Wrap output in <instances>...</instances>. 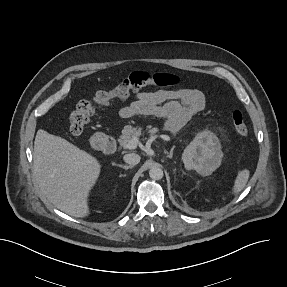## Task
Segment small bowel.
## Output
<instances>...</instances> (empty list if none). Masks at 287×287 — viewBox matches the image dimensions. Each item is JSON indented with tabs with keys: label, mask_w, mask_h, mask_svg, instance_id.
<instances>
[{
	"label": "small bowel",
	"mask_w": 287,
	"mask_h": 287,
	"mask_svg": "<svg viewBox=\"0 0 287 287\" xmlns=\"http://www.w3.org/2000/svg\"><path fill=\"white\" fill-rule=\"evenodd\" d=\"M204 107V94L197 89L140 91L120 110V115L123 118L135 115L164 118L166 128L175 132L182 129Z\"/></svg>",
	"instance_id": "1"
}]
</instances>
